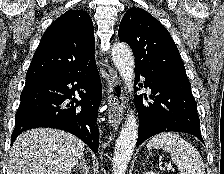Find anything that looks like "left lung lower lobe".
I'll return each mask as SVG.
<instances>
[{"instance_id": "left-lung-lower-lobe-1", "label": "left lung lower lobe", "mask_w": 224, "mask_h": 174, "mask_svg": "<svg viewBox=\"0 0 224 174\" xmlns=\"http://www.w3.org/2000/svg\"><path fill=\"white\" fill-rule=\"evenodd\" d=\"M144 76L145 86L151 88L153 103L143 104L139 95L135 101L139 116L136 146L146 139L167 131L185 132L203 142L195 98L189 80L156 76L135 69L136 82Z\"/></svg>"}]
</instances>
